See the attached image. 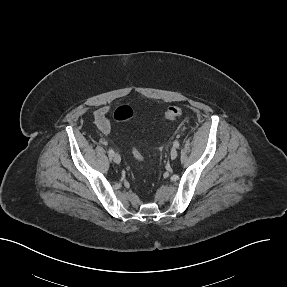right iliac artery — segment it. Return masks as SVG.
<instances>
[{
    "label": "right iliac artery",
    "mask_w": 287,
    "mask_h": 287,
    "mask_svg": "<svg viewBox=\"0 0 287 287\" xmlns=\"http://www.w3.org/2000/svg\"><path fill=\"white\" fill-rule=\"evenodd\" d=\"M108 154H109L110 157H113V156H114V151H113L112 149H110V150L108 151Z\"/></svg>",
    "instance_id": "1"
}]
</instances>
